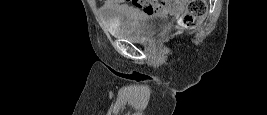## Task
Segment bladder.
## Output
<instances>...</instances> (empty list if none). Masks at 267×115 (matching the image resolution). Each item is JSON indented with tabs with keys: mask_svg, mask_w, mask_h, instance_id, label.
Returning <instances> with one entry per match:
<instances>
[{
	"mask_svg": "<svg viewBox=\"0 0 267 115\" xmlns=\"http://www.w3.org/2000/svg\"><path fill=\"white\" fill-rule=\"evenodd\" d=\"M170 17L165 14H142L134 23L108 25L109 32L131 42H146L162 32L170 24Z\"/></svg>",
	"mask_w": 267,
	"mask_h": 115,
	"instance_id": "31cf9c89",
	"label": "bladder"
}]
</instances>
